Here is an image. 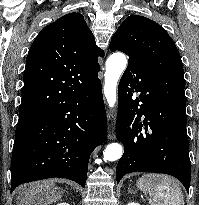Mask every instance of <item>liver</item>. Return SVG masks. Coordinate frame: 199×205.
<instances>
[{
    "label": "liver",
    "instance_id": "1",
    "mask_svg": "<svg viewBox=\"0 0 199 205\" xmlns=\"http://www.w3.org/2000/svg\"><path fill=\"white\" fill-rule=\"evenodd\" d=\"M62 194V191L54 186L53 181H44L33 184L27 191H22L18 200L20 204L43 205L44 202L48 204L61 198Z\"/></svg>",
    "mask_w": 199,
    "mask_h": 205
}]
</instances>
